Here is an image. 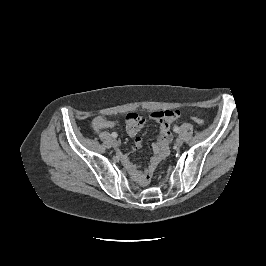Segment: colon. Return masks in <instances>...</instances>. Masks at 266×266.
<instances>
[{"label": "colon", "mask_w": 266, "mask_h": 266, "mask_svg": "<svg viewBox=\"0 0 266 266\" xmlns=\"http://www.w3.org/2000/svg\"><path fill=\"white\" fill-rule=\"evenodd\" d=\"M192 120L198 125H203L204 124V120L202 118L198 117V116H193Z\"/></svg>", "instance_id": "1"}]
</instances>
